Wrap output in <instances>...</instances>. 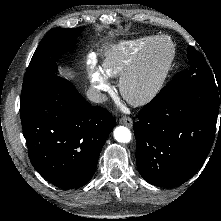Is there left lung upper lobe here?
I'll return each mask as SVG.
<instances>
[{
	"instance_id": "5c2ea615",
	"label": "left lung upper lobe",
	"mask_w": 221,
	"mask_h": 221,
	"mask_svg": "<svg viewBox=\"0 0 221 221\" xmlns=\"http://www.w3.org/2000/svg\"><path fill=\"white\" fill-rule=\"evenodd\" d=\"M187 52L190 69L187 72L177 73L171 81H187L193 76L214 79L210 66L204 56L192 46L188 48Z\"/></svg>"
}]
</instances>
